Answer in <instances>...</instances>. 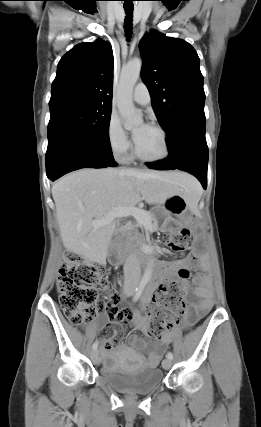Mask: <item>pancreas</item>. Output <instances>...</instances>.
<instances>
[{"label": "pancreas", "instance_id": "cf45deb5", "mask_svg": "<svg viewBox=\"0 0 261 427\" xmlns=\"http://www.w3.org/2000/svg\"><path fill=\"white\" fill-rule=\"evenodd\" d=\"M148 216H149V222L146 223V228L149 229L150 231H154L157 227L156 224L153 222L154 218L151 212H147ZM141 224L139 222L135 223V226H140ZM140 238L142 241H145V237L144 235H140Z\"/></svg>", "mask_w": 261, "mask_h": 427}]
</instances>
